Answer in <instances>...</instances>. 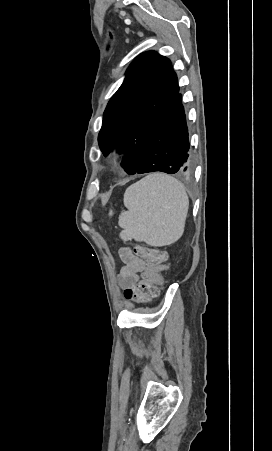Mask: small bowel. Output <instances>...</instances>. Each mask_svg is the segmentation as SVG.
Instances as JSON below:
<instances>
[{
  "label": "small bowel",
  "mask_w": 272,
  "mask_h": 451,
  "mask_svg": "<svg viewBox=\"0 0 272 451\" xmlns=\"http://www.w3.org/2000/svg\"><path fill=\"white\" fill-rule=\"evenodd\" d=\"M132 252L133 250L128 246L119 249V257L124 263L119 272V284L123 288L132 287L137 279V273L146 266L144 260H133Z\"/></svg>",
  "instance_id": "obj_1"
}]
</instances>
